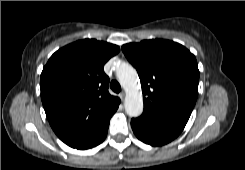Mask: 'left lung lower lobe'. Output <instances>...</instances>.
Returning a JSON list of instances; mask_svg holds the SVG:
<instances>
[{
    "label": "left lung lower lobe",
    "instance_id": "1",
    "mask_svg": "<svg viewBox=\"0 0 245 170\" xmlns=\"http://www.w3.org/2000/svg\"><path fill=\"white\" fill-rule=\"evenodd\" d=\"M185 125L183 121L148 110H144L140 117L131 120V126L137 138L152 146L171 142L182 132Z\"/></svg>",
    "mask_w": 245,
    "mask_h": 170
}]
</instances>
